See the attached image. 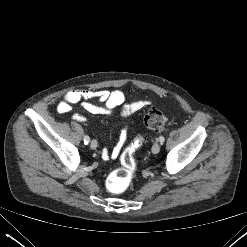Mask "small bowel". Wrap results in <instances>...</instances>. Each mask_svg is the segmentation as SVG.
Listing matches in <instances>:
<instances>
[{
	"instance_id": "c3829d8e",
	"label": "small bowel",
	"mask_w": 247,
	"mask_h": 247,
	"mask_svg": "<svg viewBox=\"0 0 247 247\" xmlns=\"http://www.w3.org/2000/svg\"><path fill=\"white\" fill-rule=\"evenodd\" d=\"M93 99H98V103H93ZM148 102L137 100L131 103L125 102V95L121 90H72L65 94L64 99L58 104L59 113L70 112L75 104H80L84 110L93 115L110 116L118 110L121 117H129L142 109ZM73 119L78 122H85L86 117L82 114H74ZM127 131L123 127L120 131L119 140L114 149L110 152L107 149L101 151L104 160L115 159L126 141Z\"/></svg>"
}]
</instances>
